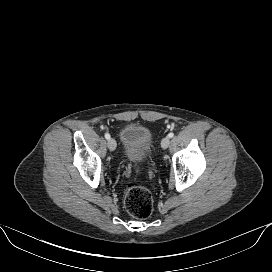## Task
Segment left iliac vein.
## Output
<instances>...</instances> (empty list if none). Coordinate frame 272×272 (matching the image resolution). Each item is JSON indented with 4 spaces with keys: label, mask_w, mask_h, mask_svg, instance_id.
<instances>
[{
    "label": "left iliac vein",
    "mask_w": 272,
    "mask_h": 272,
    "mask_svg": "<svg viewBox=\"0 0 272 272\" xmlns=\"http://www.w3.org/2000/svg\"><path fill=\"white\" fill-rule=\"evenodd\" d=\"M169 144H170L169 137H165V138L162 139V141H161V147L163 149H166L169 146Z\"/></svg>",
    "instance_id": "obj_1"
}]
</instances>
